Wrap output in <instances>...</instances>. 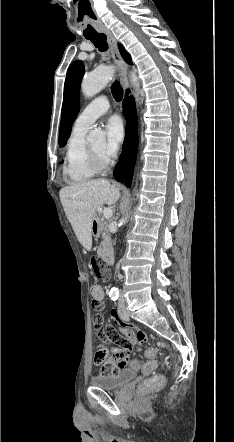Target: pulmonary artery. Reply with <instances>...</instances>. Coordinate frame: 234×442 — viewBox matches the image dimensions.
Segmentation results:
<instances>
[{
	"instance_id": "pulmonary-artery-1",
	"label": "pulmonary artery",
	"mask_w": 234,
	"mask_h": 442,
	"mask_svg": "<svg viewBox=\"0 0 234 442\" xmlns=\"http://www.w3.org/2000/svg\"><path fill=\"white\" fill-rule=\"evenodd\" d=\"M110 108L106 96H99L92 100L75 120L74 127L88 130L90 126Z\"/></svg>"
}]
</instances>
